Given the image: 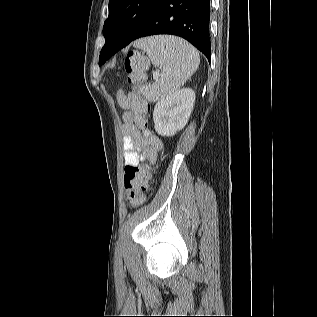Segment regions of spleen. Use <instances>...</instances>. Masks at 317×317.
<instances>
[{
    "instance_id": "spleen-1",
    "label": "spleen",
    "mask_w": 317,
    "mask_h": 317,
    "mask_svg": "<svg viewBox=\"0 0 317 317\" xmlns=\"http://www.w3.org/2000/svg\"><path fill=\"white\" fill-rule=\"evenodd\" d=\"M134 46L145 51L152 64L161 69L160 79L139 88L150 102H158L177 91L200 64L198 51L178 37H147L136 41Z\"/></svg>"
}]
</instances>
